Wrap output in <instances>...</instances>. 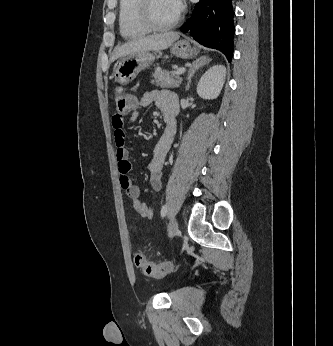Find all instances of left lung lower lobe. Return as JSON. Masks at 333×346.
I'll use <instances>...</instances> for the list:
<instances>
[{
    "mask_svg": "<svg viewBox=\"0 0 333 346\" xmlns=\"http://www.w3.org/2000/svg\"><path fill=\"white\" fill-rule=\"evenodd\" d=\"M181 31L189 32L200 44L221 51L231 62L235 34L232 0H200Z\"/></svg>",
    "mask_w": 333,
    "mask_h": 346,
    "instance_id": "1",
    "label": "left lung lower lobe"
}]
</instances>
